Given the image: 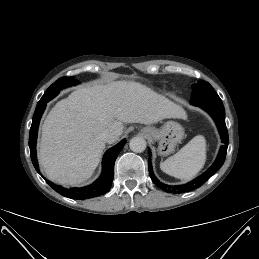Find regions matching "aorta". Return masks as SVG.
I'll return each instance as SVG.
<instances>
[{"instance_id": "aorta-1", "label": "aorta", "mask_w": 259, "mask_h": 259, "mask_svg": "<svg viewBox=\"0 0 259 259\" xmlns=\"http://www.w3.org/2000/svg\"><path fill=\"white\" fill-rule=\"evenodd\" d=\"M129 147L133 152L141 153L146 149V141L142 137H133L130 140Z\"/></svg>"}]
</instances>
